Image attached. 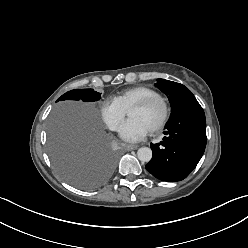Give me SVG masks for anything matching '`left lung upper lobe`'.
<instances>
[{"mask_svg":"<svg viewBox=\"0 0 248 248\" xmlns=\"http://www.w3.org/2000/svg\"><path fill=\"white\" fill-rule=\"evenodd\" d=\"M156 86L164 92L171 104V116L189 99L195 98L191 91L182 84L158 79Z\"/></svg>","mask_w":248,"mask_h":248,"instance_id":"left-lung-upper-lobe-1","label":"left lung upper lobe"}]
</instances>
